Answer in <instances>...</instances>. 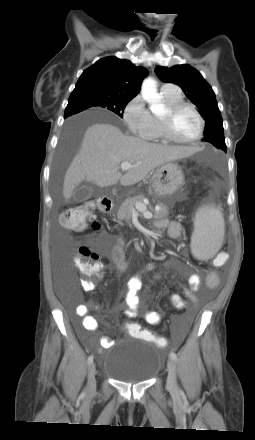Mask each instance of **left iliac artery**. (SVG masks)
<instances>
[{
  "instance_id": "1",
  "label": "left iliac artery",
  "mask_w": 255,
  "mask_h": 440,
  "mask_svg": "<svg viewBox=\"0 0 255 440\" xmlns=\"http://www.w3.org/2000/svg\"><path fill=\"white\" fill-rule=\"evenodd\" d=\"M170 357H171L174 361H177V355H176V353L171 352V353H170Z\"/></svg>"
}]
</instances>
